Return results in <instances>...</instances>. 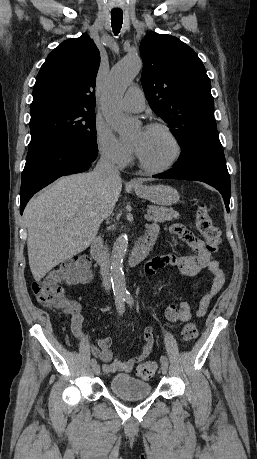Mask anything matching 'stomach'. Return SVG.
<instances>
[{"instance_id": "1", "label": "stomach", "mask_w": 257, "mask_h": 459, "mask_svg": "<svg viewBox=\"0 0 257 459\" xmlns=\"http://www.w3.org/2000/svg\"><path fill=\"white\" fill-rule=\"evenodd\" d=\"M134 191L140 198L161 206L175 204L180 198L176 189L166 185L135 186Z\"/></svg>"}]
</instances>
